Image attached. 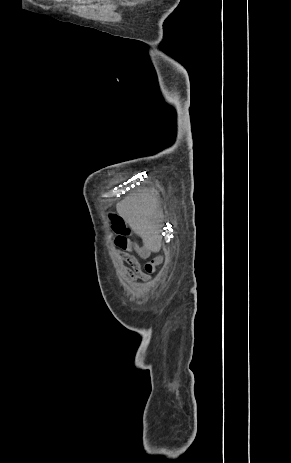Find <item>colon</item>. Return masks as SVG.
I'll list each match as a JSON object with an SVG mask.
<instances>
[{"label":"colon","mask_w":291,"mask_h":463,"mask_svg":"<svg viewBox=\"0 0 291 463\" xmlns=\"http://www.w3.org/2000/svg\"><path fill=\"white\" fill-rule=\"evenodd\" d=\"M109 219L111 222L112 231L114 232L115 236H122V235H129L130 230L126 225L125 221L116 214H110ZM151 265H147L146 268L150 269Z\"/></svg>","instance_id":"colon-1"}]
</instances>
